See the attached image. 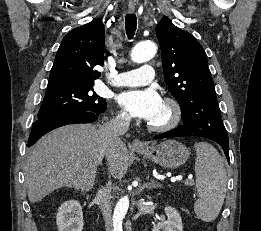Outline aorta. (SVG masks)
Segmentation results:
<instances>
[{
	"label": "aorta",
	"instance_id": "1",
	"mask_svg": "<svg viewBox=\"0 0 261 231\" xmlns=\"http://www.w3.org/2000/svg\"><path fill=\"white\" fill-rule=\"evenodd\" d=\"M156 45L151 41L140 42L131 51V59L143 63L152 59L156 53ZM129 208V198L122 197L116 204L113 214L114 231H123L122 222Z\"/></svg>",
	"mask_w": 261,
	"mask_h": 231
}]
</instances>
